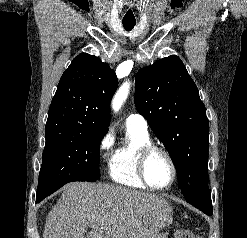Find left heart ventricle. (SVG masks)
<instances>
[{
	"instance_id": "obj_1",
	"label": "left heart ventricle",
	"mask_w": 247,
	"mask_h": 238,
	"mask_svg": "<svg viewBox=\"0 0 247 238\" xmlns=\"http://www.w3.org/2000/svg\"><path fill=\"white\" fill-rule=\"evenodd\" d=\"M146 174L151 184L165 186L171 180L172 170L166 157L159 152H154L147 161Z\"/></svg>"
}]
</instances>
